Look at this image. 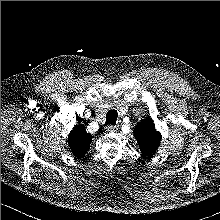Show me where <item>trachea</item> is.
<instances>
[{"label":"trachea","mask_w":220,"mask_h":220,"mask_svg":"<svg viewBox=\"0 0 220 220\" xmlns=\"http://www.w3.org/2000/svg\"><path fill=\"white\" fill-rule=\"evenodd\" d=\"M118 117V113L116 110H110L106 114V122L105 125H115Z\"/></svg>","instance_id":"trachea-1"}]
</instances>
